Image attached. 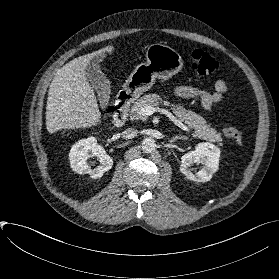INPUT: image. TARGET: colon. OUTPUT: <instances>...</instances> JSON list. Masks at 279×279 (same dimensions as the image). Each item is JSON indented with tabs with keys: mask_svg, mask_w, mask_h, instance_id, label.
<instances>
[{
	"mask_svg": "<svg viewBox=\"0 0 279 279\" xmlns=\"http://www.w3.org/2000/svg\"><path fill=\"white\" fill-rule=\"evenodd\" d=\"M192 64L191 68L193 71H195L197 74L206 76L209 74L214 73L218 67L219 63L216 58H214L211 54H209L207 51L202 49H195L192 54ZM103 120L106 119V117H102ZM65 133V131H63ZM223 133L226 137L233 140L237 145L242 146L243 145V135L240 130H238L235 127L227 126L224 127Z\"/></svg>",
	"mask_w": 279,
	"mask_h": 279,
	"instance_id": "1",
	"label": "colon"
}]
</instances>
